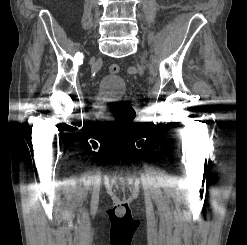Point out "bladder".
<instances>
[{"label":"bladder","instance_id":"1","mask_svg":"<svg viewBox=\"0 0 247 245\" xmlns=\"http://www.w3.org/2000/svg\"><path fill=\"white\" fill-rule=\"evenodd\" d=\"M126 91V83L117 74L104 75L97 83L95 94L98 98H105L123 94Z\"/></svg>","mask_w":247,"mask_h":245}]
</instances>
